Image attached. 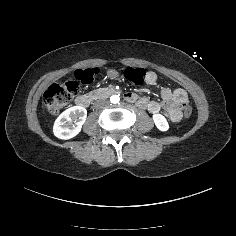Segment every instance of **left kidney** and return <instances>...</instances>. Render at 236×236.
I'll return each mask as SVG.
<instances>
[{
  "mask_svg": "<svg viewBox=\"0 0 236 236\" xmlns=\"http://www.w3.org/2000/svg\"><path fill=\"white\" fill-rule=\"evenodd\" d=\"M152 120L159 131L167 132L169 130V123L164 115L155 113L152 115Z\"/></svg>",
  "mask_w": 236,
  "mask_h": 236,
  "instance_id": "5707ae66",
  "label": "left kidney"
}]
</instances>
